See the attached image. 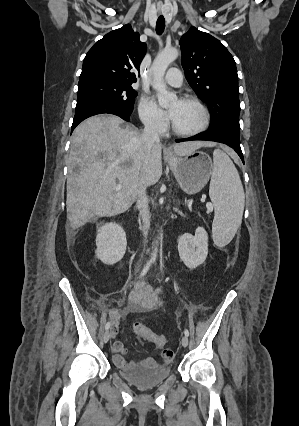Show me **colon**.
I'll use <instances>...</instances> for the list:
<instances>
[{
    "label": "colon",
    "mask_w": 299,
    "mask_h": 426,
    "mask_svg": "<svg viewBox=\"0 0 299 426\" xmlns=\"http://www.w3.org/2000/svg\"><path fill=\"white\" fill-rule=\"evenodd\" d=\"M133 330L139 337L149 341L158 348H163L167 343V339L165 336L153 332L151 329H149L142 323H134Z\"/></svg>",
    "instance_id": "obj_1"
}]
</instances>
